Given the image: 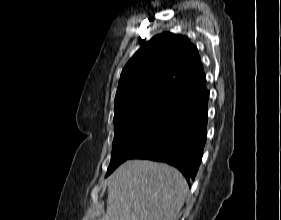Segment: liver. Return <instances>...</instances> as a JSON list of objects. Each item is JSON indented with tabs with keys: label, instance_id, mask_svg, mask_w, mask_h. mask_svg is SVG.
<instances>
[{
	"label": "liver",
	"instance_id": "6515ba94",
	"mask_svg": "<svg viewBox=\"0 0 281 220\" xmlns=\"http://www.w3.org/2000/svg\"><path fill=\"white\" fill-rule=\"evenodd\" d=\"M107 210L99 220H177L189 188L176 168L128 160L108 178Z\"/></svg>",
	"mask_w": 281,
	"mask_h": 220
}]
</instances>
